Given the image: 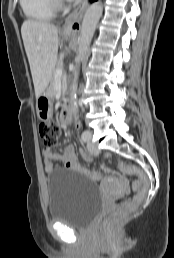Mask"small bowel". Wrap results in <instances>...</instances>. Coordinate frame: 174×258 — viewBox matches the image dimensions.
<instances>
[{
	"instance_id": "obj_1",
	"label": "small bowel",
	"mask_w": 174,
	"mask_h": 258,
	"mask_svg": "<svg viewBox=\"0 0 174 258\" xmlns=\"http://www.w3.org/2000/svg\"><path fill=\"white\" fill-rule=\"evenodd\" d=\"M43 156H44V169L47 173H51L54 170L55 161H60L63 163V165L72 170H78V171H85L89 176H92V179H100V172L99 171H87L85 168H83L76 159L75 152L71 146L65 147L63 154H58L53 152L50 148H45L43 150ZM82 162H91L92 156L86 152H82ZM99 167H106V162H99ZM117 179H122V174H117ZM130 183L129 179H122L121 184L122 187L125 190H129V186L127 184Z\"/></svg>"
}]
</instances>
